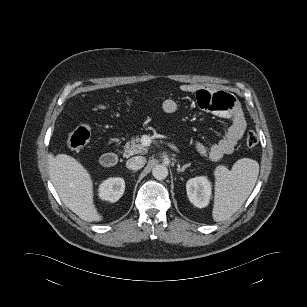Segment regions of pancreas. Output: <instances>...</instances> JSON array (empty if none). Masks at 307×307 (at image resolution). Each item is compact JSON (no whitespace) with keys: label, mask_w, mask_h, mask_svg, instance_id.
Returning <instances> with one entry per match:
<instances>
[{"label":"pancreas","mask_w":307,"mask_h":307,"mask_svg":"<svg viewBox=\"0 0 307 307\" xmlns=\"http://www.w3.org/2000/svg\"><path fill=\"white\" fill-rule=\"evenodd\" d=\"M146 150V147L142 144L141 138L135 136L131 138L130 142L125 144L123 156L128 158L134 154L144 153Z\"/></svg>","instance_id":"pancreas-1"}]
</instances>
